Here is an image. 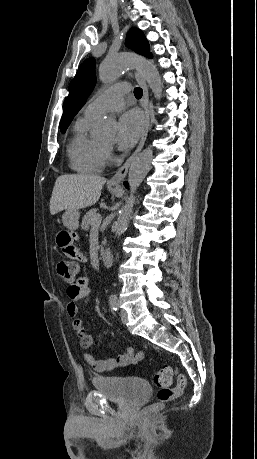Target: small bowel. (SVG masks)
Segmentation results:
<instances>
[{
  "label": "small bowel",
  "mask_w": 257,
  "mask_h": 459,
  "mask_svg": "<svg viewBox=\"0 0 257 459\" xmlns=\"http://www.w3.org/2000/svg\"><path fill=\"white\" fill-rule=\"evenodd\" d=\"M80 242L81 237L75 236L74 230H59L58 235L55 236V243L58 244L66 261H69L70 264H87L88 262L86 251ZM66 294L68 297L66 314L72 320V327L76 332L81 348L87 349L95 344V340L86 332L81 319L77 318V313L78 303L87 304L90 299L88 278L83 275L76 279L67 287ZM143 356L142 351H135L132 347H127L123 354L106 360L97 359L88 352L83 355L86 363L98 372L130 366L140 361Z\"/></svg>",
  "instance_id": "small-bowel-1"
}]
</instances>
